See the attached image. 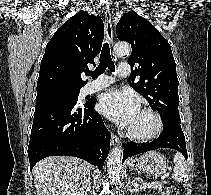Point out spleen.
<instances>
[{
    "label": "spleen",
    "instance_id": "3e777b00",
    "mask_svg": "<svg viewBox=\"0 0 211 195\" xmlns=\"http://www.w3.org/2000/svg\"><path fill=\"white\" fill-rule=\"evenodd\" d=\"M173 162L175 164L174 167V173L172 175L173 179L182 182L184 175H185V166H186V161L183 157L182 154L176 153L173 159Z\"/></svg>",
    "mask_w": 211,
    "mask_h": 195
}]
</instances>
